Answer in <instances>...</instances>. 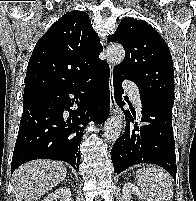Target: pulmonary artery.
Instances as JSON below:
<instances>
[{
  "instance_id": "1",
  "label": "pulmonary artery",
  "mask_w": 196,
  "mask_h": 201,
  "mask_svg": "<svg viewBox=\"0 0 196 201\" xmlns=\"http://www.w3.org/2000/svg\"><path fill=\"white\" fill-rule=\"evenodd\" d=\"M123 86H124V88H126L129 91L136 106L140 107L141 102H140V95H139V90H138L137 86L129 81H125L123 83Z\"/></svg>"
}]
</instances>
